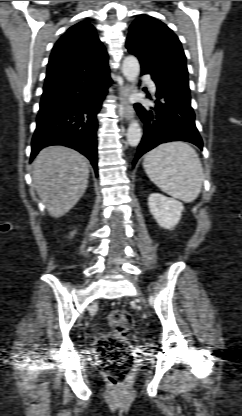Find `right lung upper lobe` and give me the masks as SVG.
<instances>
[{"instance_id": "cb5924a9", "label": "right lung upper lobe", "mask_w": 242, "mask_h": 416, "mask_svg": "<svg viewBox=\"0 0 242 416\" xmlns=\"http://www.w3.org/2000/svg\"><path fill=\"white\" fill-rule=\"evenodd\" d=\"M109 70L108 55L88 22L70 27L50 55L44 89L84 80Z\"/></svg>"}]
</instances>
